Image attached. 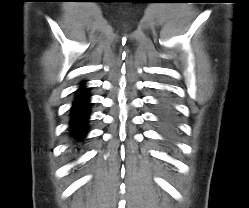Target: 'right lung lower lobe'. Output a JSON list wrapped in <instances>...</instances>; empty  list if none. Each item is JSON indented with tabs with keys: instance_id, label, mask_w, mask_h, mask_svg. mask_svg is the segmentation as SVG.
<instances>
[{
	"instance_id": "1",
	"label": "right lung lower lobe",
	"mask_w": 249,
	"mask_h": 208,
	"mask_svg": "<svg viewBox=\"0 0 249 208\" xmlns=\"http://www.w3.org/2000/svg\"><path fill=\"white\" fill-rule=\"evenodd\" d=\"M90 102L88 88L80 87L70 111V135L76 142H81L87 134Z\"/></svg>"
}]
</instances>
